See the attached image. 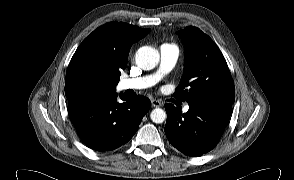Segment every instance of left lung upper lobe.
Here are the masks:
<instances>
[{
    "label": "left lung upper lobe",
    "instance_id": "1",
    "mask_svg": "<svg viewBox=\"0 0 294 180\" xmlns=\"http://www.w3.org/2000/svg\"><path fill=\"white\" fill-rule=\"evenodd\" d=\"M185 47L184 74L175 98L189 102L232 105L235 88L226 60L213 40L200 29L178 31Z\"/></svg>",
    "mask_w": 294,
    "mask_h": 180
}]
</instances>
